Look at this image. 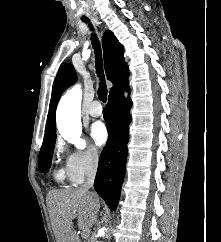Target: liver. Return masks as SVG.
I'll return each mask as SVG.
<instances>
[{
    "label": "liver",
    "instance_id": "liver-1",
    "mask_svg": "<svg viewBox=\"0 0 221 242\" xmlns=\"http://www.w3.org/2000/svg\"><path fill=\"white\" fill-rule=\"evenodd\" d=\"M47 205L56 242H80L72 220L78 219L80 229H90L96 221L100 201L97 195L79 188L49 192Z\"/></svg>",
    "mask_w": 221,
    "mask_h": 242
}]
</instances>
